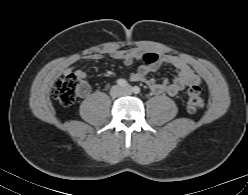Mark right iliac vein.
<instances>
[{
  "label": "right iliac vein",
  "instance_id": "63e3f726",
  "mask_svg": "<svg viewBox=\"0 0 248 195\" xmlns=\"http://www.w3.org/2000/svg\"><path fill=\"white\" fill-rule=\"evenodd\" d=\"M110 94L112 96H119L122 94V89L119 86L112 87Z\"/></svg>",
  "mask_w": 248,
  "mask_h": 195
}]
</instances>
